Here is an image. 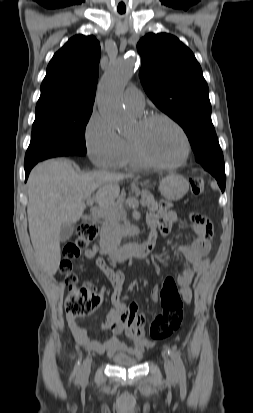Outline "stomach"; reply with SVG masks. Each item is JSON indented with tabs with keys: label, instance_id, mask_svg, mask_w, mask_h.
<instances>
[{
	"label": "stomach",
	"instance_id": "0dacf381",
	"mask_svg": "<svg viewBox=\"0 0 253 413\" xmlns=\"http://www.w3.org/2000/svg\"><path fill=\"white\" fill-rule=\"evenodd\" d=\"M159 190L167 200L176 201L188 192L189 183L181 175L170 174L160 181Z\"/></svg>",
	"mask_w": 253,
	"mask_h": 413
}]
</instances>
